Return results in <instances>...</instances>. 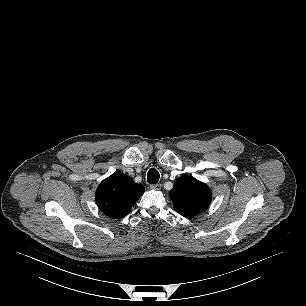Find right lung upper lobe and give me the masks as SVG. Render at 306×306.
<instances>
[{"label": "right lung upper lobe", "mask_w": 306, "mask_h": 306, "mask_svg": "<svg viewBox=\"0 0 306 306\" xmlns=\"http://www.w3.org/2000/svg\"><path fill=\"white\" fill-rule=\"evenodd\" d=\"M145 192L142 184H136L126 174L114 173L104 179L95 193L97 206L106 215L122 218Z\"/></svg>", "instance_id": "right-lung-upper-lobe-1"}]
</instances>
